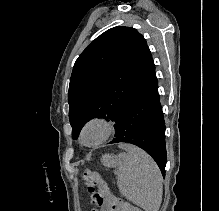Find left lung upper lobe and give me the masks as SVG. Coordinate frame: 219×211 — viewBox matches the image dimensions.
Segmentation results:
<instances>
[{
    "label": "left lung upper lobe",
    "mask_w": 219,
    "mask_h": 211,
    "mask_svg": "<svg viewBox=\"0 0 219 211\" xmlns=\"http://www.w3.org/2000/svg\"><path fill=\"white\" fill-rule=\"evenodd\" d=\"M154 74L151 52L137 30L114 27L98 36L78 57L70 78L73 138L93 118H111L116 128L129 102Z\"/></svg>",
    "instance_id": "1"
}]
</instances>
